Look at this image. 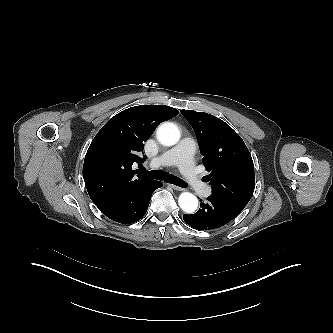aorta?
<instances>
[{
    "instance_id": "1",
    "label": "aorta",
    "mask_w": 333,
    "mask_h": 333,
    "mask_svg": "<svg viewBox=\"0 0 333 333\" xmlns=\"http://www.w3.org/2000/svg\"><path fill=\"white\" fill-rule=\"evenodd\" d=\"M180 138L178 127L171 122L161 124L157 129V139L164 146L175 145ZM180 208L186 213H193L198 207V200L195 195L183 192L178 199Z\"/></svg>"
}]
</instances>
